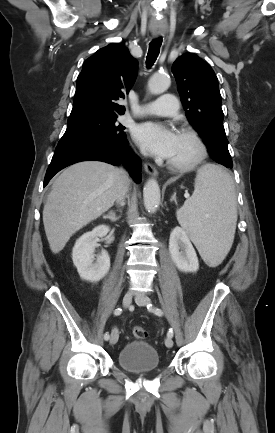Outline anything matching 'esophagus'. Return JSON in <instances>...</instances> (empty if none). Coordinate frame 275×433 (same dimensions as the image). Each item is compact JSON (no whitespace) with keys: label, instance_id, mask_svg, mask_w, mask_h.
Masks as SVG:
<instances>
[{"label":"esophagus","instance_id":"obj_1","mask_svg":"<svg viewBox=\"0 0 275 433\" xmlns=\"http://www.w3.org/2000/svg\"><path fill=\"white\" fill-rule=\"evenodd\" d=\"M154 36H157V34H154ZM144 169L146 171L147 174L151 175V176H157L158 175V171L157 169L151 165L150 163H144Z\"/></svg>","mask_w":275,"mask_h":433}]
</instances>
